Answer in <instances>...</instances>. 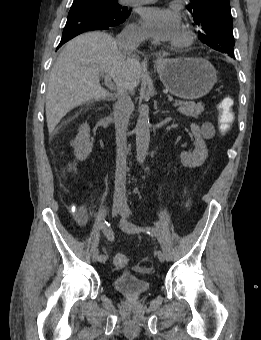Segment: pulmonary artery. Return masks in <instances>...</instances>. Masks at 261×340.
Wrapping results in <instances>:
<instances>
[{
	"instance_id": "pulmonary-artery-1",
	"label": "pulmonary artery",
	"mask_w": 261,
	"mask_h": 340,
	"mask_svg": "<svg viewBox=\"0 0 261 340\" xmlns=\"http://www.w3.org/2000/svg\"><path fill=\"white\" fill-rule=\"evenodd\" d=\"M125 2H128V3H139V4H144V3H150L154 0H123Z\"/></svg>"
}]
</instances>
